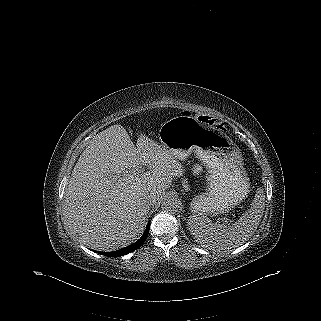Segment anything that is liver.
<instances>
[{"label":"liver","mask_w":321,"mask_h":321,"mask_svg":"<svg viewBox=\"0 0 321 321\" xmlns=\"http://www.w3.org/2000/svg\"><path fill=\"white\" fill-rule=\"evenodd\" d=\"M133 144L125 128L112 125L90 141L80 155L64 195V216L82 243L112 251L143 233L149 206L156 203L182 165L154 140L141 134ZM140 164L149 171L137 173Z\"/></svg>","instance_id":"6515ba94"}]
</instances>
